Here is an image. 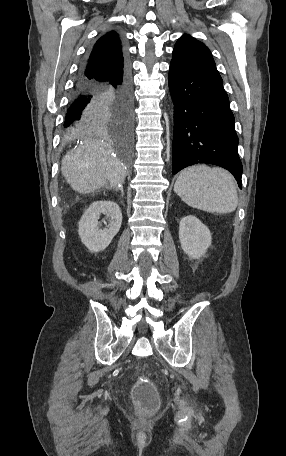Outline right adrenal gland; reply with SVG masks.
I'll use <instances>...</instances> for the list:
<instances>
[{
	"label": "right adrenal gland",
	"instance_id": "2a0ac1e0",
	"mask_svg": "<svg viewBox=\"0 0 286 456\" xmlns=\"http://www.w3.org/2000/svg\"><path fill=\"white\" fill-rule=\"evenodd\" d=\"M119 189H120V191H121V196L123 197V196H124L123 187L121 186Z\"/></svg>",
	"mask_w": 286,
	"mask_h": 456
}]
</instances>
